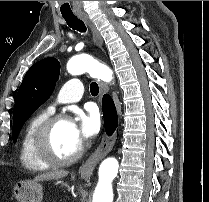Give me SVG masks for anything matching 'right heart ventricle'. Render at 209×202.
I'll return each instance as SVG.
<instances>
[{
	"mask_svg": "<svg viewBox=\"0 0 209 202\" xmlns=\"http://www.w3.org/2000/svg\"><path fill=\"white\" fill-rule=\"evenodd\" d=\"M49 114L47 112L39 113L33 116L26 123L20 140L19 147V159L21 164L32 171H43L46 170L49 165L43 163L34 153L33 140L35 133L40 124L47 119Z\"/></svg>",
	"mask_w": 209,
	"mask_h": 202,
	"instance_id": "obj_1",
	"label": "right heart ventricle"
}]
</instances>
